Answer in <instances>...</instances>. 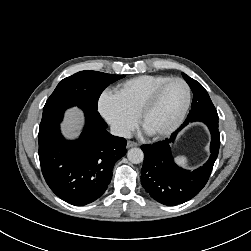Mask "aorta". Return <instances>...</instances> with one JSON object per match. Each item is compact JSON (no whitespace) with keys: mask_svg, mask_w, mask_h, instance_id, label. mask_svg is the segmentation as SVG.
Here are the masks:
<instances>
[{"mask_svg":"<svg viewBox=\"0 0 251 251\" xmlns=\"http://www.w3.org/2000/svg\"><path fill=\"white\" fill-rule=\"evenodd\" d=\"M128 160L133 164H139L144 159V153L140 148H131L127 152Z\"/></svg>","mask_w":251,"mask_h":251,"instance_id":"aorta-1","label":"aorta"}]
</instances>
